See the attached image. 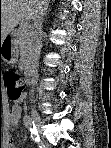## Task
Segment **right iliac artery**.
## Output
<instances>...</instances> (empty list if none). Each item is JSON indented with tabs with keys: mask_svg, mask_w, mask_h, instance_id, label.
<instances>
[{
	"mask_svg": "<svg viewBox=\"0 0 111 148\" xmlns=\"http://www.w3.org/2000/svg\"><path fill=\"white\" fill-rule=\"evenodd\" d=\"M24 125L31 131V134H35V135L37 134L35 124L29 116L24 117ZM35 141H36V138H35Z\"/></svg>",
	"mask_w": 111,
	"mask_h": 148,
	"instance_id": "82829eb1",
	"label": "right iliac artery"
}]
</instances>
